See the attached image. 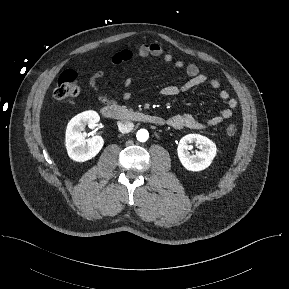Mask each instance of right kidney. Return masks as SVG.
I'll list each match as a JSON object with an SVG mask.
<instances>
[{"mask_svg": "<svg viewBox=\"0 0 289 289\" xmlns=\"http://www.w3.org/2000/svg\"><path fill=\"white\" fill-rule=\"evenodd\" d=\"M100 117L95 111H85L73 117L66 129V149L71 159L84 162L94 158L102 149L104 140L101 136L86 138L82 131L86 126H94Z\"/></svg>", "mask_w": 289, "mask_h": 289, "instance_id": "right-kidney-1", "label": "right kidney"}]
</instances>
